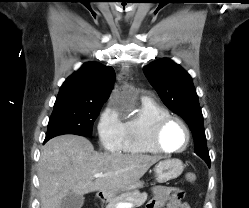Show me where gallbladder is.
<instances>
[{
    "instance_id": "gallbladder-1",
    "label": "gallbladder",
    "mask_w": 249,
    "mask_h": 208,
    "mask_svg": "<svg viewBox=\"0 0 249 208\" xmlns=\"http://www.w3.org/2000/svg\"><path fill=\"white\" fill-rule=\"evenodd\" d=\"M84 204L83 195L69 192L61 201L60 208H81Z\"/></svg>"
}]
</instances>
